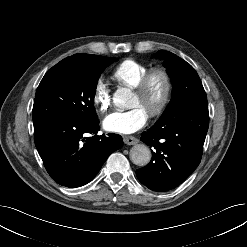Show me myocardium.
I'll return each mask as SVG.
<instances>
[{"label":"myocardium","mask_w":247,"mask_h":247,"mask_svg":"<svg viewBox=\"0 0 247 247\" xmlns=\"http://www.w3.org/2000/svg\"><path fill=\"white\" fill-rule=\"evenodd\" d=\"M155 77H160L164 83V91L159 103L149 111L151 117L159 116L166 109L168 103L170 102L172 91H173V81L170 74L162 68H153L149 70L134 87V91L140 97H145L150 88L151 82Z\"/></svg>","instance_id":"f54148a6"}]
</instances>
